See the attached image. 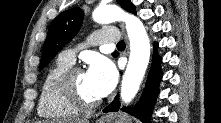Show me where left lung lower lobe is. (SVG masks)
<instances>
[{"instance_id": "0a47b994", "label": "left lung lower lobe", "mask_w": 221, "mask_h": 123, "mask_svg": "<svg viewBox=\"0 0 221 123\" xmlns=\"http://www.w3.org/2000/svg\"><path fill=\"white\" fill-rule=\"evenodd\" d=\"M154 51L157 49L158 44L155 42L153 44ZM161 57L155 51L153 54V61L151 70L148 74L146 86L140 101L135 105L134 108L123 107L127 109L131 115L136 116L144 122L150 123L151 111L153 109L158 90L159 82L162 77V71L160 69ZM120 108L119 96L117 95L115 99L103 110L104 112L118 111Z\"/></svg>"}]
</instances>
